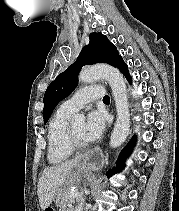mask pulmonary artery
Wrapping results in <instances>:
<instances>
[{
    "mask_svg": "<svg viewBox=\"0 0 179 211\" xmlns=\"http://www.w3.org/2000/svg\"><path fill=\"white\" fill-rule=\"evenodd\" d=\"M105 90L101 85H91L79 89L71 98L62 103L60 108L69 113H75L87 103L95 99H102Z\"/></svg>",
    "mask_w": 179,
    "mask_h": 211,
    "instance_id": "1",
    "label": "pulmonary artery"
}]
</instances>
